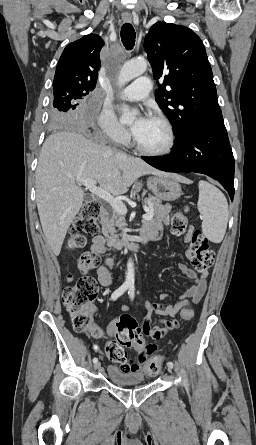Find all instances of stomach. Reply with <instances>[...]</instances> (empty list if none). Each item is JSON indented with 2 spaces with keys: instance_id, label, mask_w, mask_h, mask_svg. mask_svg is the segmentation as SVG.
I'll list each match as a JSON object with an SVG mask.
<instances>
[{
  "instance_id": "stomach-1",
  "label": "stomach",
  "mask_w": 256,
  "mask_h": 445,
  "mask_svg": "<svg viewBox=\"0 0 256 445\" xmlns=\"http://www.w3.org/2000/svg\"><path fill=\"white\" fill-rule=\"evenodd\" d=\"M147 186L160 200L175 201L182 195L180 184L169 175L149 177Z\"/></svg>"
}]
</instances>
